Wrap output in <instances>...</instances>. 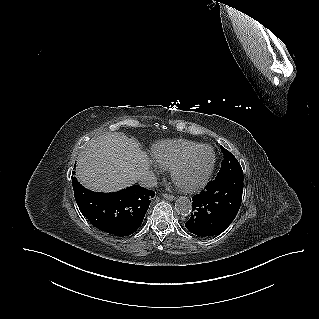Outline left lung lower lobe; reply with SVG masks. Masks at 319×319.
<instances>
[{
	"label": "left lung lower lobe",
	"mask_w": 319,
	"mask_h": 319,
	"mask_svg": "<svg viewBox=\"0 0 319 319\" xmlns=\"http://www.w3.org/2000/svg\"><path fill=\"white\" fill-rule=\"evenodd\" d=\"M242 192V174H228L209 182L204 190L193 196V213L186 228L201 237L220 234L235 219Z\"/></svg>",
	"instance_id": "0a47b994"
}]
</instances>
